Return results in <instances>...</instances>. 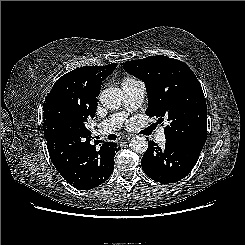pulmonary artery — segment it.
Here are the masks:
<instances>
[{
    "label": "pulmonary artery",
    "instance_id": "obj_1",
    "mask_svg": "<svg viewBox=\"0 0 245 245\" xmlns=\"http://www.w3.org/2000/svg\"><path fill=\"white\" fill-rule=\"evenodd\" d=\"M122 90L124 93V105L126 111H133L137 109L143 102L145 93V84L140 80H131L122 82ZM126 111L113 114L99 123L96 133L98 135H108L116 131L122 124L127 114ZM155 139L162 143L165 140L164 130L161 128Z\"/></svg>",
    "mask_w": 245,
    "mask_h": 245
}]
</instances>
